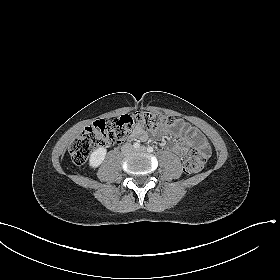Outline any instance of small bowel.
Returning <instances> with one entry per match:
<instances>
[{
    "instance_id": "1",
    "label": "small bowel",
    "mask_w": 280,
    "mask_h": 280,
    "mask_svg": "<svg viewBox=\"0 0 280 280\" xmlns=\"http://www.w3.org/2000/svg\"><path fill=\"white\" fill-rule=\"evenodd\" d=\"M182 129L185 132L183 142L176 143L171 148L175 153L185 155L188 149L192 146H196V148H209L205 137L200 133V131L187 124H182ZM147 137V132L139 126L134 128L130 134V138L132 140H145Z\"/></svg>"
}]
</instances>
